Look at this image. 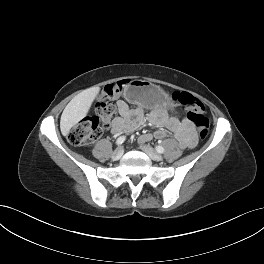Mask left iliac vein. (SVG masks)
<instances>
[{"mask_svg": "<svg viewBox=\"0 0 264 264\" xmlns=\"http://www.w3.org/2000/svg\"><path fill=\"white\" fill-rule=\"evenodd\" d=\"M141 149L153 160L161 161L163 158L149 145H142Z\"/></svg>", "mask_w": 264, "mask_h": 264, "instance_id": "1", "label": "left iliac vein"}]
</instances>
